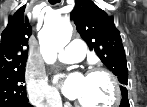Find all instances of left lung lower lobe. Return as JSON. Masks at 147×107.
<instances>
[{
  "label": "left lung lower lobe",
  "instance_id": "0a47b994",
  "mask_svg": "<svg viewBox=\"0 0 147 107\" xmlns=\"http://www.w3.org/2000/svg\"><path fill=\"white\" fill-rule=\"evenodd\" d=\"M120 107H129V101L127 97L122 98Z\"/></svg>",
  "mask_w": 147,
  "mask_h": 107
}]
</instances>
